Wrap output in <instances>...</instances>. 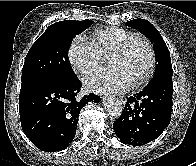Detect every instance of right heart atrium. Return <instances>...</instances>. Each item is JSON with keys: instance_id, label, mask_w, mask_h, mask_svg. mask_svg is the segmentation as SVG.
<instances>
[{"instance_id": "d8ad5b80", "label": "right heart atrium", "mask_w": 196, "mask_h": 166, "mask_svg": "<svg viewBox=\"0 0 196 166\" xmlns=\"http://www.w3.org/2000/svg\"><path fill=\"white\" fill-rule=\"evenodd\" d=\"M68 58L72 67L80 74L98 68L103 61V56L94 43L82 36L72 40L68 49Z\"/></svg>"}]
</instances>
